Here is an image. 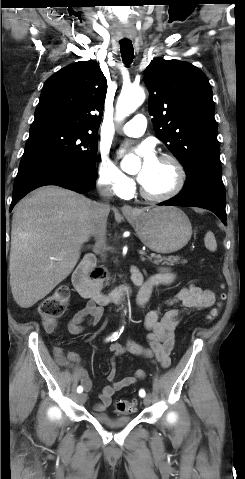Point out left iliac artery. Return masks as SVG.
<instances>
[{
    "label": "left iliac artery",
    "instance_id": "1",
    "mask_svg": "<svg viewBox=\"0 0 245 479\" xmlns=\"http://www.w3.org/2000/svg\"><path fill=\"white\" fill-rule=\"evenodd\" d=\"M145 394H146V393H145V391H144L143 389H141V390L139 391V396H140V397H144Z\"/></svg>",
    "mask_w": 245,
    "mask_h": 479
}]
</instances>
